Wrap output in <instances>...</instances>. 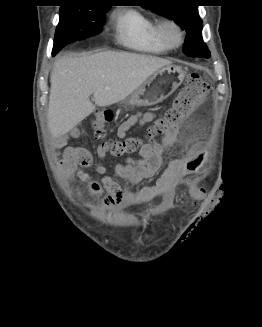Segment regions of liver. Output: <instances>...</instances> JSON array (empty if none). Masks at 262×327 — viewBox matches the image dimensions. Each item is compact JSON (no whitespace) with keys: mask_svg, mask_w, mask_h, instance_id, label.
I'll use <instances>...</instances> for the list:
<instances>
[{"mask_svg":"<svg viewBox=\"0 0 262 327\" xmlns=\"http://www.w3.org/2000/svg\"><path fill=\"white\" fill-rule=\"evenodd\" d=\"M171 61L135 53L104 51L80 57H59L51 73L48 127L61 137L89 116L95 105L124 100L153 73ZM93 94V101L90 95Z\"/></svg>","mask_w":262,"mask_h":327,"instance_id":"6515ba94","label":"liver"}]
</instances>
